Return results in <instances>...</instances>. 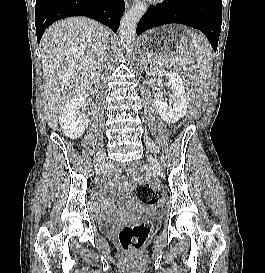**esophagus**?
<instances>
[{"instance_id": "1", "label": "esophagus", "mask_w": 265, "mask_h": 273, "mask_svg": "<svg viewBox=\"0 0 265 273\" xmlns=\"http://www.w3.org/2000/svg\"><path fill=\"white\" fill-rule=\"evenodd\" d=\"M137 0H132V2H136Z\"/></svg>"}]
</instances>
